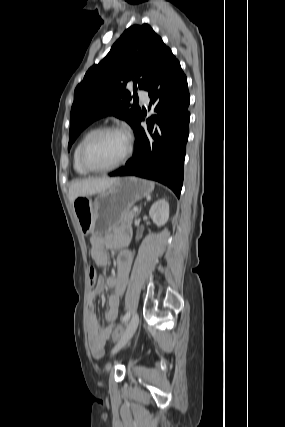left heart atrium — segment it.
<instances>
[{
    "label": "left heart atrium",
    "instance_id": "1",
    "mask_svg": "<svg viewBox=\"0 0 285 427\" xmlns=\"http://www.w3.org/2000/svg\"><path fill=\"white\" fill-rule=\"evenodd\" d=\"M124 133L129 135V131L127 129L124 130Z\"/></svg>",
    "mask_w": 285,
    "mask_h": 427
}]
</instances>
